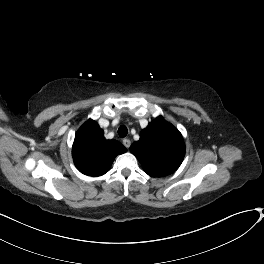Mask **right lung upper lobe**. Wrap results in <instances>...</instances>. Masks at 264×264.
<instances>
[{"instance_id":"cb5924a9","label":"right lung upper lobe","mask_w":264,"mask_h":264,"mask_svg":"<svg viewBox=\"0 0 264 264\" xmlns=\"http://www.w3.org/2000/svg\"><path fill=\"white\" fill-rule=\"evenodd\" d=\"M126 152L115 140H106L99 125L89 119L75 135L72 156L77 169L88 176H101L109 171L114 158Z\"/></svg>"}]
</instances>
